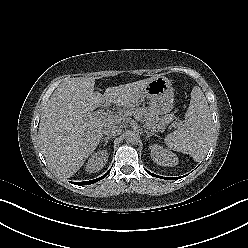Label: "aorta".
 Here are the masks:
<instances>
[{
  "instance_id": "obj_1",
  "label": "aorta",
  "mask_w": 248,
  "mask_h": 248,
  "mask_svg": "<svg viewBox=\"0 0 248 248\" xmlns=\"http://www.w3.org/2000/svg\"><path fill=\"white\" fill-rule=\"evenodd\" d=\"M139 139H140L139 134L136 133L135 131H129L125 135V141L128 144H137Z\"/></svg>"
}]
</instances>
